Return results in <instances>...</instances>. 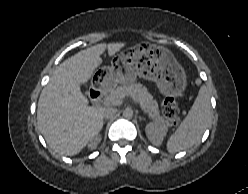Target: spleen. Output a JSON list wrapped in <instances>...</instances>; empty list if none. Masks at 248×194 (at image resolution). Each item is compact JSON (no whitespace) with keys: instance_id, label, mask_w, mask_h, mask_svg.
I'll list each match as a JSON object with an SVG mask.
<instances>
[{"instance_id":"3e777b00","label":"spleen","mask_w":248,"mask_h":194,"mask_svg":"<svg viewBox=\"0 0 248 194\" xmlns=\"http://www.w3.org/2000/svg\"><path fill=\"white\" fill-rule=\"evenodd\" d=\"M210 115V93L203 85L188 115L169 137L166 144L168 152L176 153L196 144L210 123Z\"/></svg>"}]
</instances>
